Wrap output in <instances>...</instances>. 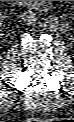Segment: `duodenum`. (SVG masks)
<instances>
[{
    "mask_svg": "<svg viewBox=\"0 0 74 122\" xmlns=\"http://www.w3.org/2000/svg\"><path fill=\"white\" fill-rule=\"evenodd\" d=\"M21 6L27 8V9H32L34 6V1H19Z\"/></svg>",
    "mask_w": 74,
    "mask_h": 122,
    "instance_id": "1",
    "label": "duodenum"
}]
</instances>
